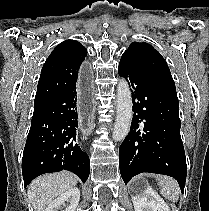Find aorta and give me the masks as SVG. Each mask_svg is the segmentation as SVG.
<instances>
[{"label":"aorta","instance_id":"1","mask_svg":"<svg viewBox=\"0 0 209 211\" xmlns=\"http://www.w3.org/2000/svg\"><path fill=\"white\" fill-rule=\"evenodd\" d=\"M132 106L128 82L121 79L117 86V116L112 134L114 141H121L128 135L133 118Z\"/></svg>","mask_w":209,"mask_h":211}]
</instances>
